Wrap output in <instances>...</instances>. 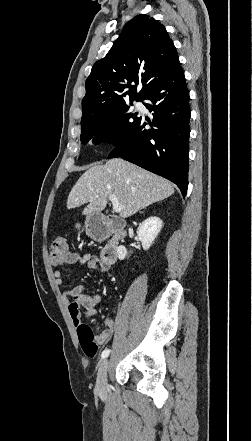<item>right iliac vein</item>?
Instances as JSON below:
<instances>
[{"instance_id": "right-iliac-vein-1", "label": "right iliac vein", "mask_w": 252, "mask_h": 441, "mask_svg": "<svg viewBox=\"0 0 252 441\" xmlns=\"http://www.w3.org/2000/svg\"><path fill=\"white\" fill-rule=\"evenodd\" d=\"M108 370H109V361L105 359L100 365L97 376V382H96V390L101 397H105L107 393Z\"/></svg>"}]
</instances>
